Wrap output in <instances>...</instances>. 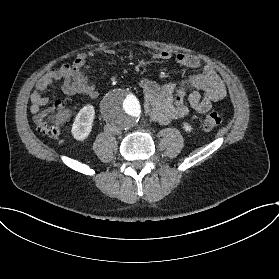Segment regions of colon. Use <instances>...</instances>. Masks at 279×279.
<instances>
[{
	"label": "colon",
	"instance_id": "5ec220e1",
	"mask_svg": "<svg viewBox=\"0 0 279 279\" xmlns=\"http://www.w3.org/2000/svg\"><path fill=\"white\" fill-rule=\"evenodd\" d=\"M73 110L66 103H59L41 109L35 114V122L38 130L53 137L61 135V127L64 122L71 119ZM221 122L220 115L217 112L207 114L202 121V129L210 131L216 128Z\"/></svg>",
	"mask_w": 279,
	"mask_h": 279
}]
</instances>
